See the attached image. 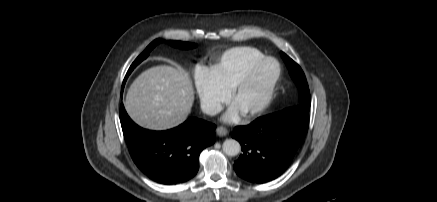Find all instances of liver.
<instances>
[{"label":"liver","instance_id":"6515ba94","mask_svg":"<svg viewBox=\"0 0 437 202\" xmlns=\"http://www.w3.org/2000/svg\"><path fill=\"white\" fill-rule=\"evenodd\" d=\"M194 90L182 68L155 66L142 72L124 102L131 119L151 130H166L184 122L191 112Z\"/></svg>","mask_w":437,"mask_h":202}]
</instances>
